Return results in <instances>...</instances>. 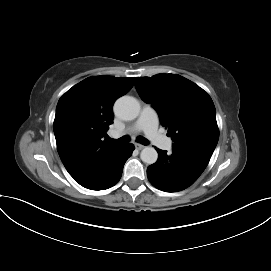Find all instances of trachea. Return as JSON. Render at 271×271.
Listing matches in <instances>:
<instances>
[{
    "mask_svg": "<svg viewBox=\"0 0 271 271\" xmlns=\"http://www.w3.org/2000/svg\"><path fill=\"white\" fill-rule=\"evenodd\" d=\"M109 141L113 142V143H117V144H125V143H128L130 142V138L128 136H123L119 139H112V138H108ZM136 141L138 143H141L143 145H147L149 142L146 138L142 137V136H139L137 137Z\"/></svg>",
    "mask_w": 271,
    "mask_h": 271,
    "instance_id": "1",
    "label": "trachea"
}]
</instances>
